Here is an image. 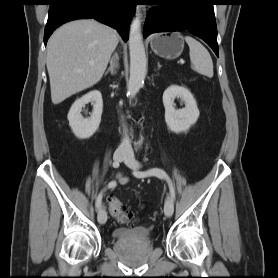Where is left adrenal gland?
Here are the masks:
<instances>
[{
  "instance_id": "a2214340",
  "label": "left adrenal gland",
  "mask_w": 278,
  "mask_h": 278,
  "mask_svg": "<svg viewBox=\"0 0 278 278\" xmlns=\"http://www.w3.org/2000/svg\"><path fill=\"white\" fill-rule=\"evenodd\" d=\"M161 67L160 63L158 62V69Z\"/></svg>"
}]
</instances>
